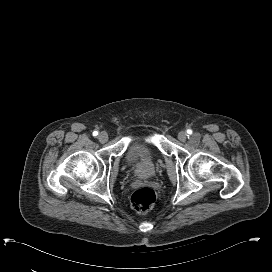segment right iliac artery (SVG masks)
Segmentation results:
<instances>
[{
    "mask_svg": "<svg viewBox=\"0 0 272 272\" xmlns=\"http://www.w3.org/2000/svg\"><path fill=\"white\" fill-rule=\"evenodd\" d=\"M98 135V132L97 131H94L93 132V136H97Z\"/></svg>",
    "mask_w": 272,
    "mask_h": 272,
    "instance_id": "obj_1",
    "label": "right iliac artery"
}]
</instances>
